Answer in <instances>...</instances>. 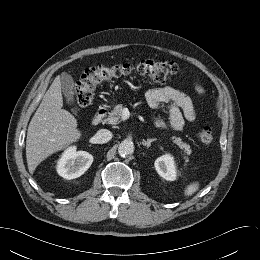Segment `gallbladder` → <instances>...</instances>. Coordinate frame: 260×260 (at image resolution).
<instances>
[{"label":"gallbladder","mask_w":260,"mask_h":260,"mask_svg":"<svg viewBox=\"0 0 260 260\" xmlns=\"http://www.w3.org/2000/svg\"><path fill=\"white\" fill-rule=\"evenodd\" d=\"M61 88L68 104L74 103V81L70 74L63 72L61 74Z\"/></svg>","instance_id":"obj_1"}]
</instances>
